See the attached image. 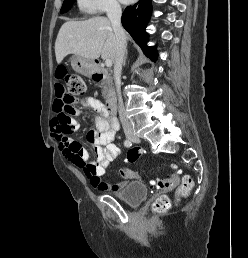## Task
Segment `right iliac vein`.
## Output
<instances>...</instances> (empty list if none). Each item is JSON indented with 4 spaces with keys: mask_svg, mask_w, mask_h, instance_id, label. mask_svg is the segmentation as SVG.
Returning a JSON list of instances; mask_svg holds the SVG:
<instances>
[{
    "mask_svg": "<svg viewBox=\"0 0 248 258\" xmlns=\"http://www.w3.org/2000/svg\"><path fill=\"white\" fill-rule=\"evenodd\" d=\"M135 137H137L136 134H133V133L128 134V138H129L130 140H132V139L135 138Z\"/></svg>",
    "mask_w": 248,
    "mask_h": 258,
    "instance_id": "63e3f726",
    "label": "right iliac vein"
}]
</instances>
